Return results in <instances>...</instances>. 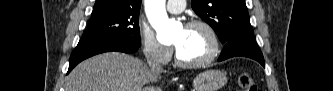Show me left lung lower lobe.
<instances>
[{
	"instance_id": "1",
	"label": "left lung lower lobe",
	"mask_w": 333,
	"mask_h": 91,
	"mask_svg": "<svg viewBox=\"0 0 333 91\" xmlns=\"http://www.w3.org/2000/svg\"><path fill=\"white\" fill-rule=\"evenodd\" d=\"M236 56L252 58L265 67L263 55L254 39L253 33L238 35L229 39L225 43L218 61Z\"/></svg>"
}]
</instances>
